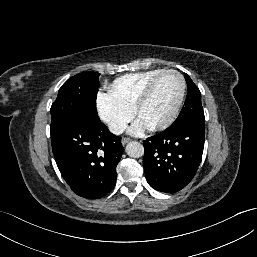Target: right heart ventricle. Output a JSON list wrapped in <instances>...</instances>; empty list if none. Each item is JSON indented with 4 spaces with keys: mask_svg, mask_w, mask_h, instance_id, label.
I'll use <instances>...</instances> for the list:
<instances>
[{
    "mask_svg": "<svg viewBox=\"0 0 257 257\" xmlns=\"http://www.w3.org/2000/svg\"><path fill=\"white\" fill-rule=\"evenodd\" d=\"M162 70L164 69L136 72L115 79L108 88L109 98L114 102L133 110L143 89Z\"/></svg>",
    "mask_w": 257,
    "mask_h": 257,
    "instance_id": "right-heart-ventricle-1",
    "label": "right heart ventricle"
}]
</instances>
